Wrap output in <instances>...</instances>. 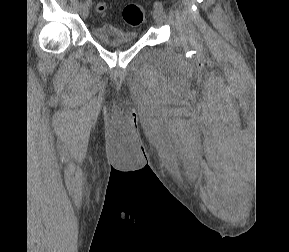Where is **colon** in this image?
Instances as JSON below:
<instances>
[{
  "label": "colon",
  "mask_w": 289,
  "mask_h": 252,
  "mask_svg": "<svg viewBox=\"0 0 289 252\" xmlns=\"http://www.w3.org/2000/svg\"><path fill=\"white\" fill-rule=\"evenodd\" d=\"M96 10L105 14L106 5L103 2H99L96 5ZM146 16V9L142 4L132 3L124 7L122 11V21L126 26L136 27L143 23Z\"/></svg>",
  "instance_id": "colon-1"
}]
</instances>
